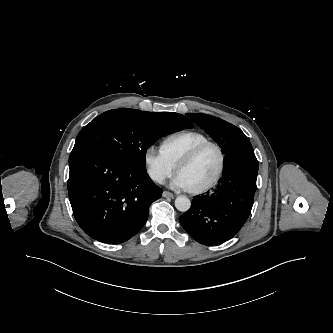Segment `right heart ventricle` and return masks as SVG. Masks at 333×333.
I'll use <instances>...</instances> for the list:
<instances>
[{"label":"right heart ventricle","mask_w":333,"mask_h":333,"mask_svg":"<svg viewBox=\"0 0 333 333\" xmlns=\"http://www.w3.org/2000/svg\"><path fill=\"white\" fill-rule=\"evenodd\" d=\"M209 139L198 131H180L169 135L161 142V150L166 157L177 166L196 146L208 142Z\"/></svg>","instance_id":"obj_1"}]
</instances>
